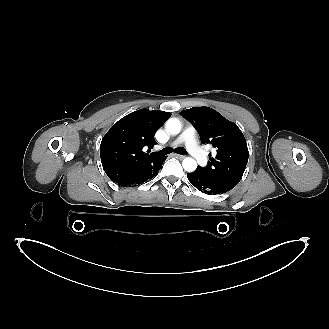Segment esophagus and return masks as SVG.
Returning a JSON list of instances; mask_svg holds the SVG:
<instances>
[{"label": "esophagus", "mask_w": 329, "mask_h": 329, "mask_svg": "<svg viewBox=\"0 0 329 329\" xmlns=\"http://www.w3.org/2000/svg\"><path fill=\"white\" fill-rule=\"evenodd\" d=\"M175 156H176L178 159H184V158H185L184 155H180V154H176Z\"/></svg>", "instance_id": "34e87169"}]
</instances>
